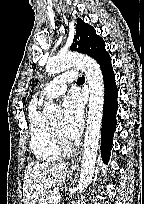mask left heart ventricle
Instances as JSON below:
<instances>
[{"label":"left heart ventricle","instance_id":"obj_1","mask_svg":"<svg viewBox=\"0 0 144 204\" xmlns=\"http://www.w3.org/2000/svg\"><path fill=\"white\" fill-rule=\"evenodd\" d=\"M52 126L63 134V121L60 119L52 124ZM64 135V134H63Z\"/></svg>","mask_w":144,"mask_h":204}]
</instances>
